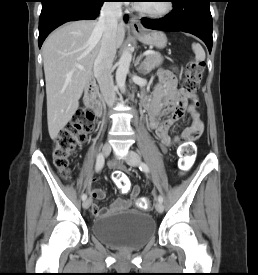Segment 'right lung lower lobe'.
Wrapping results in <instances>:
<instances>
[{
    "label": "right lung lower lobe",
    "mask_w": 258,
    "mask_h": 275,
    "mask_svg": "<svg viewBox=\"0 0 258 275\" xmlns=\"http://www.w3.org/2000/svg\"><path fill=\"white\" fill-rule=\"evenodd\" d=\"M104 1L106 0H41L39 47L42 46L50 32L65 22L95 19Z\"/></svg>",
    "instance_id": "obj_1"
}]
</instances>
